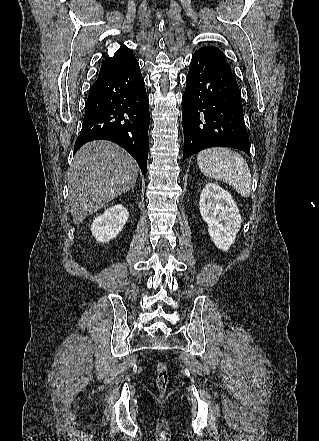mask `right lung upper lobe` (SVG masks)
Returning <instances> with one entry per match:
<instances>
[{
  "label": "right lung upper lobe",
  "instance_id": "1",
  "mask_svg": "<svg viewBox=\"0 0 319 441\" xmlns=\"http://www.w3.org/2000/svg\"><path fill=\"white\" fill-rule=\"evenodd\" d=\"M135 61L137 60L133 52L125 45H122L119 48L118 52L112 58H107L103 61L100 72L98 74V79L112 74L134 63Z\"/></svg>",
  "mask_w": 319,
  "mask_h": 441
}]
</instances>
